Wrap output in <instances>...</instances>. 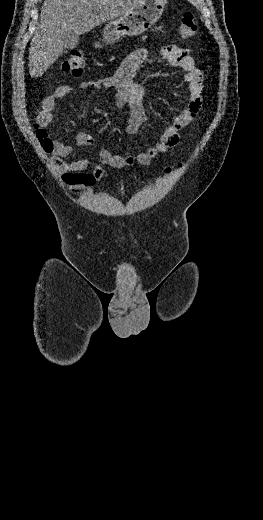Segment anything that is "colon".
I'll return each instance as SVG.
<instances>
[{
	"label": "colon",
	"mask_w": 263,
	"mask_h": 520,
	"mask_svg": "<svg viewBox=\"0 0 263 520\" xmlns=\"http://www.w3.org/2000/svg\"><path fill=\"white\" fill-rule=\"evenodd\" d=\"M197 32V23L192 13L186 12L179 23V34L182 39H189L193 37ZM62 68L65 72L72 74L73 76H81L84 68V56L82 51L74 50L70 53V55L65 59L62 64ZM36 135L40 140V143L43 149L46 152H50L53 147L52 140L45 129L40 126L36 128ZM172 171L171 168H167L166 172L170 173Z\"/></svg>",
	"instance_id": "colon-1"
}]
</instances>
